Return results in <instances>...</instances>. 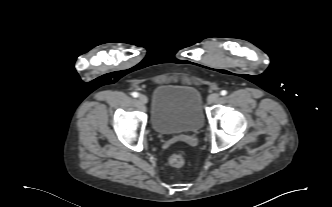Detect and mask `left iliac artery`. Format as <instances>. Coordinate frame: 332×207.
<instances>
[{
    "mask_svg": "<svg viewBox=\"0 0 332 207\" xmlns=\"http://www.w3.org/2000/svg\"><path fill=\"white\" fill-rule=\"evenodd\" d=\"M220 94H221L222 96H225V95L227 94V91H226V90H222V91L220 92Z\"/></svg>",
    "mask_w": 332,
    "mask_h": 207,
    "instance_id": "44dca946",
    "label": "left iliac artery"
}]
</instances>
